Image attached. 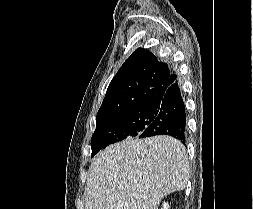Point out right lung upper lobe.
<instances>
[{
    "mask_svg": "<svg viewBox=\"0 0 253 209\" xmlns=\"http://www.w3.org/2000/svg\"><path fill=\"white\" fill-rule=\"evenodd\" d=\"M176 80L177 75L167 63L159 62L150 51L138 48L110 82L96 121L153 105Z\"/></svg>",
    "mask_w": 253,
    "mask_h": 209,
    "instance_id": "obj_1",
    "label": "right lung upper lobe"
}]
</instances>
